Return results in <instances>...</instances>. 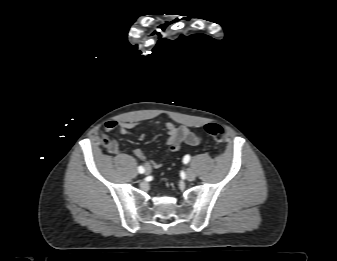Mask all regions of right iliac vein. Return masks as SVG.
<instances>
[{"label":"right iliac vein","instance_id":"63e3f726","mask_svg":"<svg viewBox=\"0 0 337 261\" xmlns=\"http://www.w3.org/2000/svg\"><path fill=\"white\" fill-rule=\"evenodd\" d=\"M150 172H151V170L149 168H146L145 174L148 175V174H150Z\"/></svg>","mask_w":337,"mask_h":261}]
</instances>
